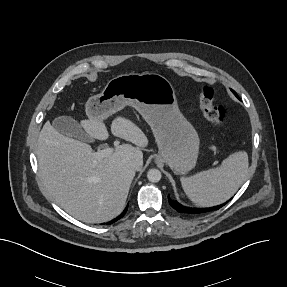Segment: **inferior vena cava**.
<instances>
[{
    "instance_id": "1",
    "label": "inferior vena cava",
    "mask_w": 287,
    "mask_h": 287,
    "mask_svg": "<svg viewBox=\"0 0 287 287\" xmlns=\"http://www.w3.org/2000/svg\"><path fill=\"white\" fill-rule=\"evenodd\" d=\"M130 167L135 170V171H139L142 166H143V160L142 159H133L130 161L129 163Z\"/></svg>"
}]
</instances>
